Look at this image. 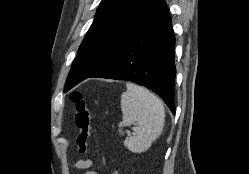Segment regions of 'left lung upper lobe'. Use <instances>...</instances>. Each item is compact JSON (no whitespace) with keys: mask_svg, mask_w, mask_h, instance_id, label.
Here are the masks:
<instances>
[{"mask_svg":"<svg viewBox=\"0 0 249 174\" xmlns=\"http://www.w3.org/2000/svg\"><path fill=\"white\" fill-rule=\"evenodd\" d=\"M165 4L164 0H102L73 61L64 92L75 80L103 68Z\"/></svg>","mask_w":249,"mask_h":174,"instance_id":"left-lung-upper-lobe-1","label":"left lung upper lobe"}]
</instances>
